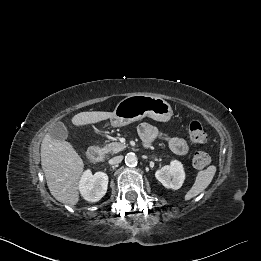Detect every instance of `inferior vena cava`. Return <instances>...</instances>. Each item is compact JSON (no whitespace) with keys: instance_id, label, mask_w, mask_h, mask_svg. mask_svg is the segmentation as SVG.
Returning <instances> with one entry per match:
<instances>
[{"instance_id":"602c4592","label":"inferior vena cava","mask_w":261,"mask_h":261,"mask_svg":"<svg viewBox=\"0 0 261 261\" xmlns=\"http://www.w3.org/2000/svg\"><path fill=\"white\" fill-rule=\"evenodd\" d=\"M123 160L122 156H116L109 160V164L111 165H117Z\"/></svg>"}]
</instances>
